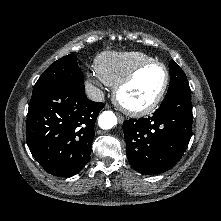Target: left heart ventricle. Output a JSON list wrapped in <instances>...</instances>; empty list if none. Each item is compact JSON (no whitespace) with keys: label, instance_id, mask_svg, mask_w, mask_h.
Listing matches in <instances>:
<instances>
[{"label":"left heart ventricle","instance_id":"1","mask_svg":"<svg viewBox=\"0 0 221 221\" xmlns=\"http://www.w3.org/2000/svg\"><path fill=\"white\" fill-rule=\"evenodd\" d=\"M164 77V70L160 66L148 67L121 91L120 97L129 106H145L156 97L163 85Z\"/></svg>","mask_w":221,"mask_h":221}]
</instances>
